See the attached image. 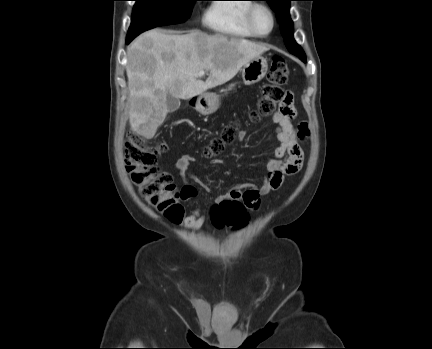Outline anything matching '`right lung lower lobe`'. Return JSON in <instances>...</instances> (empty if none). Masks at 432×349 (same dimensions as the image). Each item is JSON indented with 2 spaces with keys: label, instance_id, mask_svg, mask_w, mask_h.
Here are the masks:
<instances>
[{
  "label": "right lung lower lobe",
  "instance_id": "right-lung-lower-lobe-1",
  "mask_svg": "<svg viewBox=\"0 0 432 349\" xmlns=\"http://www.w3.org/2000/svg\"><path fill=\"white\" fill-rule=\"evenodd\" d=\"M129 42H130V40H129V39H127V40H126V43H129Z\"/></svg>",
  "mask_w": 432,
  "mask_h": 349
}]
</instances>
